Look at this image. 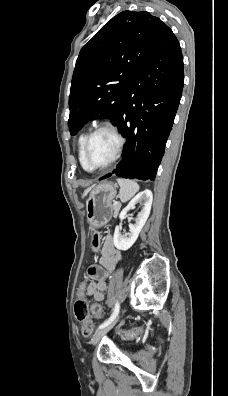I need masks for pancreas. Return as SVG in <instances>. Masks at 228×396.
<instances>
[{"instance_id":"pancreas-1","label":"pancreas","mask_w":228,"mask_h":396,"mask_svg":"<svg viewBox=\"0 0 228 396\" xmlns=\"http://www.w3.org/2000/svg\"><path fill=\"white\" fill-rule=\"evenodd\" d=\"M120 207H121V204H120V203L113 204L112 210H113V212H114V216L117 215V213L119 212Z\"/></svg>"}]
</instances>
